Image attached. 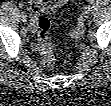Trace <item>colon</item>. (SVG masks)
Here are the masks:
<instances>
[{
    "instance_id": "colon-1",
    "label": "colon",
    "mask_w": 111,
    "mask_h": 106,
    "mask_svg": "<svg viewBox=\"0 0 111 106\" xmlns=\"http://www.w3.org/2000/svg\"><path fill=\"white\" fill-rule=\"evenodd\" d=\"M52 23L49 18L41 17L37 22V46L42 55L43 65L52 68L55 54L49 39Z\"/></svg>"
}]
</instances>
